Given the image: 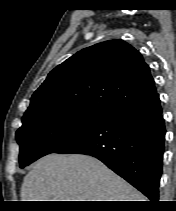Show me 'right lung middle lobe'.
Returning a JSON list of instances; mask_svg holds the SVG:
<instances>
[{"mask_svg":"<svg viewBox=\"0 0 176 211\" xmlns=\"http://www.w3.org/2000/svg\"><path fill=\"white\" fill-rule=\"evenodd\" d=\"M105 117L58 108L44 109L23 117V125L16 132L20 167L56 152L97 126Z\"/></svg>","mask_w":176,"mask_h":211,"instance_id":"dd1d6c3e","label":"right lung middle lobe"}]
</instances>
